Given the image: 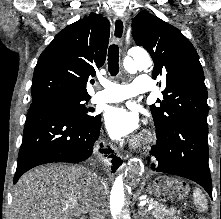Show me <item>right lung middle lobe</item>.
<instances>
[{
  "label": "right lung middle lobe",
  "instance_id": "dd1d6c3e",
  "mask_svg": "<svg viewBox=\"0 0 221 219\" xmlns=\"http://www.w3.org/2000/svg\"><path fill=\"white\" fill-rule=\"evenodd\" d=\"M90 98L87 99H72V98H50V99H43L36 102H32L31 107L34 108H46V109H55L59 111L66 112L72 115L74 118L91 122L96 120L99 115H91V110L86 108L85 101H88Z\"/></svg>",
  "mask_w": 221,
  "mask_h": 219
}]
</instances>
